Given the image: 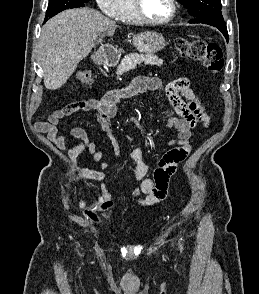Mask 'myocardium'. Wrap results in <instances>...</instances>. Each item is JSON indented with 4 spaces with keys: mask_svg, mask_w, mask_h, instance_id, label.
<instances>
[{
    "mask_svg": "<svg viewBox=\"0 0 259 294\" xmlns=\"http://www.w3.org/2000/svg\"><path fill=\"white\" fill-rule=\"evenodd\" d=\"M131 2H132L133 10H134V13H135L137 20L140 23L147 24V25H155V26L165 25V24L171 22L176 17L177 11H178L176 0H169L170 5H171L170 14L164 19L154 20V19H151L145 15V13L142 9V5H141L142 1L141 0H131Z\"/></svg>",
    "mask_w": 259,
    "mask_h": 294,
    "instance_id": "obj_1",
    "label": "myocardium"
}]
</instances>
